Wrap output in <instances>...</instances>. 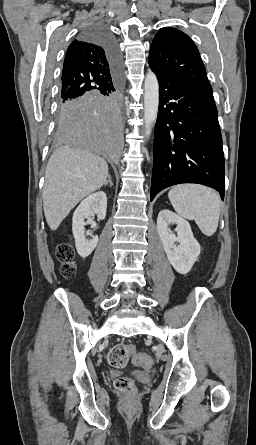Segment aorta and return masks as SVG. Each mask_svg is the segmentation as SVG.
Returning <instances> with one entry per match:
<instances>
[{
    "label": "aorta",
    "mask_w": 256,
    "mask_h": 445,
    "mask_svg": "<svg viewBox=\"0 0 256 445\" xmlns=\"http://www.w3.org/2000/svg\"><path fill=\"white\" fill-rule=\"evenodd\" d=\"M159 107V84L156 75L149 71L144 81V135L149 138L156 122Z\"/></svg>",
    "instance_id": "obj_1"
}]
</instances>
